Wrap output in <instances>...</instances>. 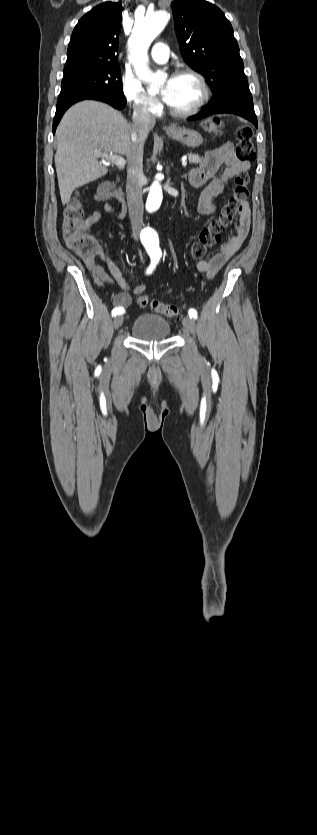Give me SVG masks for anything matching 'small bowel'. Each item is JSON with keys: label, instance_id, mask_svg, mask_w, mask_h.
<instances>
[{"label": "small bowel", "instance_id": "obj_1", "mask_svg": "<svg viewBox=\"0 0 317 835\" xmlns=\"http://www.w3.org/2000/svg\"><path fill=\"white\" fill-rule=\"evenodd\" d=\"M249 168V162L242 161L235 155L231 143H224L207 151L201 164L188 173V181L192 186H204L198 200L199 213L203 215L212 214L215 210L213 199L228 187L232 178L241 172H246ZM94 198L97 201H104L109 198L105 184L97 189ZM103 209L109 214L121 216V213L116 212L110 204H104ZM100 218L101 213L94 210L88 215L85 222L87 226H91L98 222ZM250 222V210L248 206H244L235 226V233L221 245L218 254L210 259L199 261L196 265L197 270L207 277H212L217 273L242 246L248 235ZM84 263L97 286L106 288L108 285H116L122 289L121 292L113 295L112 302L116 307L123 310L131 305L132 295L141 294L146 289L144 283L131 288L124 279L121 270L103 248H98L92 257L84 259ZM101 263L106 266L107 271Z\"/></svg>", "mask_w": 317, "mask_h": 835}]
</instances>
